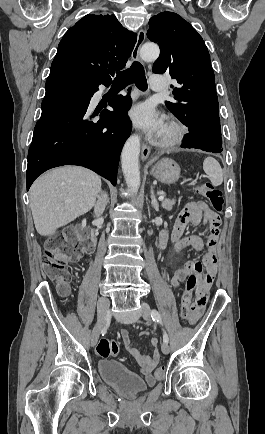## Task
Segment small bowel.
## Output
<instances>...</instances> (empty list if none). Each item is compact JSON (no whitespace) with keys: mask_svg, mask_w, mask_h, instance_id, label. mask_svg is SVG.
Segmentation results:
<instances>
[{"mask_svg":"<svg viewBox=\"0 0 265 434\" xmlns=\"http://www.w3.org/2000/svg\"><path fill=\"white\" fill-rule=\"evenodd\" d=\"M220 223V216L211 210L204 201H193L187 203L182 208L175 223L170 228L164 230L160 236L159 242L166 246V243L170 240L174 255H178L179 252L186 247H192L196 250H200L203 247V240L201 237L196 235H184L187 226H203L209 233L208 252L203 260L206 272L204 268L201 267L202 265L200 262L187 261L183 265L174 269L170 281L171 288L176 290L179 284L184 281L190 273L200 275L198 278L202 281L195 292L196 299L193 307L190 309V319L192 324L196 323L205 311L208 301V292L215 277L216 242L219 234ZM120 334L127 351L143 365V374L146 382L149 385L154 384L155 379L151 371L160 356L157 348L158 339L156 337L151 339L150 346L153 348V356L149 357L141 354L134 346L129 331L126 328L121 329ZM141 335L144 336L146 333H142Z\"/></svg>","mask_w":265,"mask_h":434,"instance_id":"small-bowel-1","label":"small bowel"}]
</instances>
